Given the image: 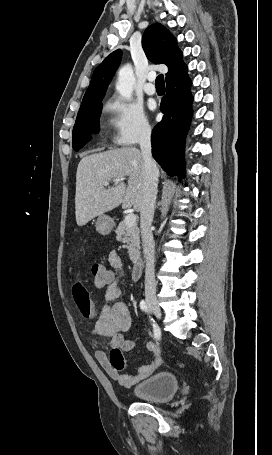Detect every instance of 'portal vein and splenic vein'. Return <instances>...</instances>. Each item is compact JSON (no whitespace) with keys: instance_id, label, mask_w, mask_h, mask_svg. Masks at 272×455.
<instances>
[{"instance_id":"1","label":"portal vein and splenic vein","mask_w":272,"mask_h":455,"mask_svg":"<svg viewBox=\"0 0 272 455\" xmlns=\"http://www.w3.org/2000/svg\"><path fill=\"white\" fill-rule=\"evenodd\" d=\"M115 183H117V182H115ZM103 184L105 186H108L109 182L108 181H104ZM124 222H125V225L128 226V227L134 226L136 224V215H134L132 213L127 214L125 219H124Z\"/></svg>"}]
</instances>
